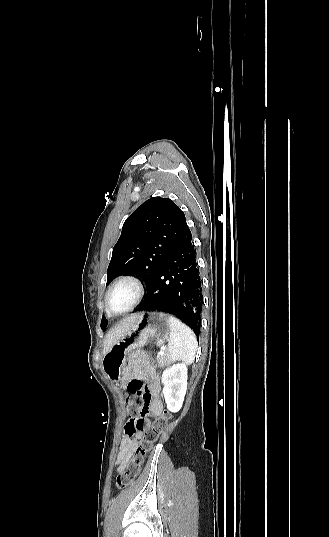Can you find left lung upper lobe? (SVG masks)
Wrapping results in <instances>:
<instances>
[{
    "label": "left lung upper lobe",
    "mask_w": 329,
    "mask_h": 537,
    "mask_svg": "<svg viewBox=\"0 0 329 537\" xmlns=\"http://www.w3.org/2000/svg\"><path fill=\"white\" fill-rule=\"evenodd\" d=\"M190 233L184 213L172 200L148 199L123 224L107 269L106 285L120 275L134 274L148 291L160 265ZM106 326L103 317L101 328Z\"/></svg>",
    "instance_id": "left-lung-upper-lobe-1"
}]
</instances>
